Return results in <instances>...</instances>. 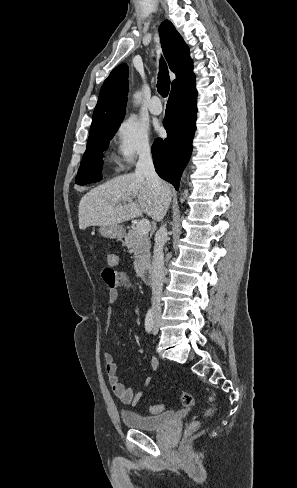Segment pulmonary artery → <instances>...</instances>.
Instances as JSON below:
<instances>
[{
  "label": "pulmonary artery",
  "mask_w": 297,
  "mask_h": 488,
  "mask_svg": "<svg viewBox=\"0 0 297 488\" xmlns=\"http://www.w3.org/2000/svg\"><path fill=\"white\" fill-rule=\"evenodd\" d=\"M162 110L163 109L159 97L153 96L150 101L149 111L154 115H159L162 113Z\"/></svg>",
  "instance_id": "pulmonary-artery-1"
}]
</instances>
